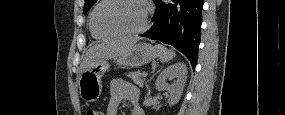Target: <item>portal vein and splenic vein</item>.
Segmentation results:
<instances>
[{"label": "portal vein and splenic vein", "mask_w": 285, "mask_h": 115, "mask_svg": "<svg viewBox=\"0 0 285 115\" xmlns=\"http://www.w3.org/2000/svg\"><path fill=\"white\" fill-rule=\"evenodd\" d=\"M146 76H147V72H143L142 77H146Z\"/></svg>", "instance_id": "18ae733b"}]
</instances>
